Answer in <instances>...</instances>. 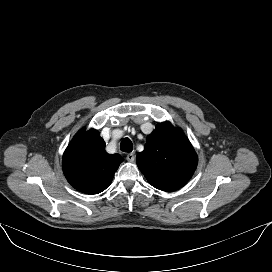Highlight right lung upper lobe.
I'll return each instance as SVG.
<instances>
[{
  "mask_svg": "<svg viewBox=\"0 0 272 272\" xmlns=\"http://www.w3.org/2000/svg\"><path fill=\"white\" fill-rule=\"evenodd\" d=\"M122 158L108 154L98 131H79L66 148L62 167L68 182L78 191L98 194L111 183Z\"/></svg>",
  "mask_w": 272,
  "mask_h": 272,
  "instance_id": "cb5924a9",
  "label": "right lung upper lobe"
}]
</instances>
